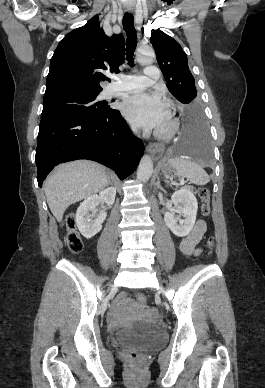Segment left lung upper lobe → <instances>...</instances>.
I'll list each match as a JSON object with an SVG mask.
<instances>
[{
    "label": "left lung upper lobe",
    "mask_w": 265,
    "mask_h": 388,
    "mask_svg": "<svg viewBox=\"0 0 265 388\" xmlns=\"http://www.w3.org/2000/svg\"><path fill=\"white\" fill-rule=\"evenodd\" d=\"M150 41L171 94L186 104L184 110L201 108L194 77L188 68L187 55L180 44L160 30L151 34Z\"/></svg>",
    "instance_id": "left-lung-upper-lobe-1"
}]
</instances>
